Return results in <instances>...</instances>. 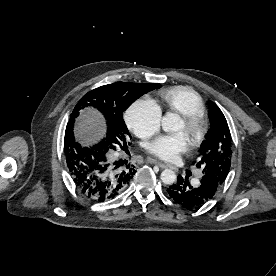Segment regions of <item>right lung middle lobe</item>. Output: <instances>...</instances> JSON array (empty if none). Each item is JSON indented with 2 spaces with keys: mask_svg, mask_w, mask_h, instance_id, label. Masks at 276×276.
Here are the masks:
<instances>
[{
  "mask_svg": "<svg viewBox=\"0 0 276 276\" xmlns=\"http://www.w3.org/2000/svg\"><path fill=\"white\" fill-rule=\"evenodd\" d=\"M158 83H128L117 82L104 85L86 93L77 103L70 116L69 123L73 125L79 111L93 108L101 112L106 119L107 132L100 146L104 151L117 145H127L129 133L123 120V112L143 94L160 88Z\"/></svg>",
  "mask_w": 276,
  "mask_h": 276,
  "instance_id": "dd1d6c3e",
  "label": "right lung middle lobe"
}]
</instances>
